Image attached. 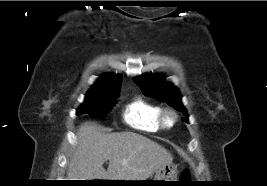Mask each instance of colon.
I'll list each match as a JSON object with an SVG mask.
<instances>
[{
    "mask_svg": "<svg viewBox=\"0 0 267 186\" xmlns=\"http://www.w3.org/2000/svg\"><path fill=\"white\" fill-rule=\"evenodd\" d=\"M190 177V172L187 168H185L182 172H181V179L182 180H188Z\"/></svg>",
    "mask_w": 267,
    "mask_h": 186,
    "instance_id": "obj_1",
    "label": "colon"
}]
</instances>
